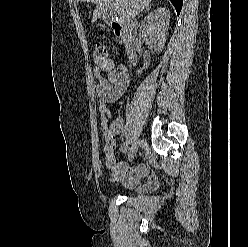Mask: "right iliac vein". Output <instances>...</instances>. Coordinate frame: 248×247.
Segmentation results:
<instances>
[{"label":"right iliac vein","mask_w":248,"mask_h":247,"mask_svg":"<svg viewBox=\"0 0 248 247\" xmlns=\"http://www.w3.org/2000/svg\"><path fill=\"white\" fill-rule=\"evenodd\" d=\"M139 141L135 142L134 144H132L130 150H129V153H128V161H132L137 150H138V147H139Z\"/></svg>","instance_id":"1"}]
</instances>
